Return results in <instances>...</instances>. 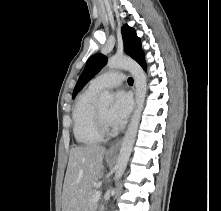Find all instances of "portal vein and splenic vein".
Here are the masks:
<instances>
[{
  "instance_id": "1",
  "label": "portal vein and splenic vein",
  "mask_w": 221,
  "mask_h": 211,
  "mask_svg": "<svg viewBox=\"0 0 221 211\" xmlns=\"http://www.w3.org/2000/svg\"><path fill=\"white\" fill-rule=\"evenodd\" d=\"M100 196H101V191L98 190V191L93 195V197H92V201H93V203L98 202L99 199H100Z\"/></svg>"
}]
</instances>
